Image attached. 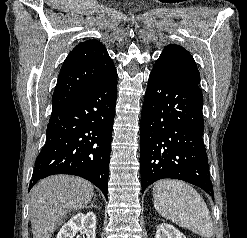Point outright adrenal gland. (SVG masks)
I'll return each instance as SVG.
<instances>
[{"instance_id": "obj_1", "label": "right adrenal gland", "mask_w": 247, "mask_h": 238, "mask_svg": "<svg viewBox=\"0 0 247 238\" xmlns=\"http://www.w3.org/2000/svg\"><path fill=\"white\" fill-rule=\"evenodd\" d=\"M95 199H96V197H94V200L91 202V205H89V206L86 207V208H92V207L96 208V206H95V204H94Z\"/></svg>"}]
</instances>
